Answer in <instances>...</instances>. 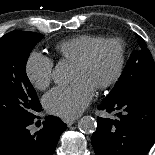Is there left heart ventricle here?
Masks as SVG:
<instances>
[{
	"mask_svg": "<svg viewBox=\"0 0 155 155\" xmlns=\"http://www.w3.org/2000/svg\"><path fill=\"white\" fill-rule=\"evenodd\" d=\"M118 56L115 45L102 46L88 66L81 68L74 65L72 81H83L94 89L112 76L118 63Z\"/></svg>",
	"mask_w": 155,
	"mask_h": 155,
	"instance_id": "left-heart-ventricle-1",
	"label": "left heart ventricle"
}]
</instances>
